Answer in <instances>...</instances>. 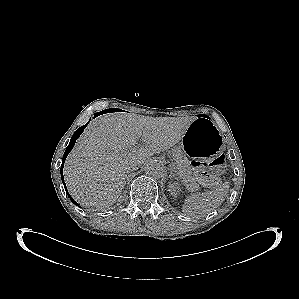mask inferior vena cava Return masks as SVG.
<instances>
[{
    "label": "inferior vena cava",
    "mask_w": 299,
    "mask_h": 299,
    "mask_svg": "<svg viewBox=\"0 0 299 299\" xmlns=\"http://www.w3.org/2000/svg\"><path fill=\"white\" fill-rule=\"evenodd\" d=\"M138 168V164L137 163H132L131 165H130V167H129V171L128 172H130V171H134V170H136ZM127 172V173H128Z\"/></svg>",
    "instance_id": "obj_1"
}]
</instances>
